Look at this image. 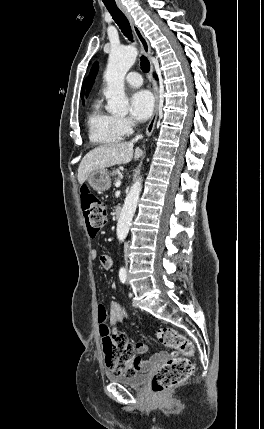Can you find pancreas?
Instances as JSON below:
<instances>
[{
  "instance_id": "obj_1",
  "label": "pancreas",
  "mask_w": 264,
  "mask_h": 429,
  "mask_svg": "<svg viewBox=\"0 0 264 429\" xmlns=\"http://www.w3.org/2000/svg\"><path fill=\"white\" fill-rule=\"evenodd\" d=\"M112 176L114 177L115 181L117 182L122 177L121 173L118 170H114L112 172Z\"/></svg>"
}]
</instances>
